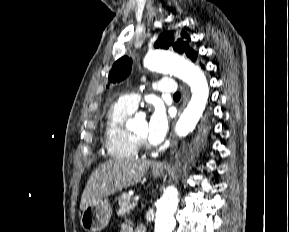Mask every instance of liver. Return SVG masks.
<instances>
[{
	"label": "liver",
	"mask_w": 289,
	"mask_h": 232,
	"mask_svg": "<svg viewBox=\"0 0 289 232\" xmlns=\"http://www.w3.org/2000/svg\"><path fill=\"white\" fill-rule=\"evenodd\" d=\"M151 165V161L143 159H112L101 164L87 181L80 209L84 210L94 201L139 183Z\"/></svg>",
	"instance_id": "1"
}]
</instances>
